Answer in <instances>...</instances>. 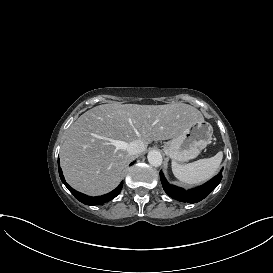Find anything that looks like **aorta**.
I'll list each match as a JSON object with an SVG mask.
<instances>
[{
  "label": "aorta",
  "mask_w": 273,
  "mask_h": 273,
  "mask_svg": "<svg viewBox=\"0 0 273 273\" xmlns=\"http://www.w3.org/2000/svg\"><path fill=\"white\" fill-rule=\"evenodd\" d=\"M148 162L154 167H159L162 164L163 158L159 151L152 150L147 155Z\"/></svg>",
  "instance_id": "obj_1"
}]
</instances>
